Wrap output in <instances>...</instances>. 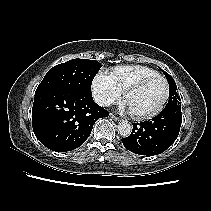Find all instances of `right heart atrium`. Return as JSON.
Listing matches in <instances>:
<instances>
[{
  "label": "right heart atrium",
  "mask_w": 211,
  "mask_h": 211,
  "mask_svg": "<svg viewBox=\"0 0 211 211\" xmlns=\"http://www.w3.org/2000/svg\"><path fill=\"white\" fill-rule=\"evenodd\" d=\"M92 93L98 104L110 106L121 98L122 90L111 73L101 70L93 78Z\"/></svg>",
  "instance_id": "right-heart-atrium-1"
}]
</instances>
